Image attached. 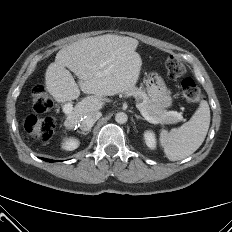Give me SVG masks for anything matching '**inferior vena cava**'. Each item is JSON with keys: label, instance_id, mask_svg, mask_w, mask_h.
Here are the masks:
<instances>
[{"label": "inferior vena cava", "instance_id": "1", "mask_svg": "<svg viewBox=\"0 0 232 232\" xmlns=\"http://www.w3.org/2000/svg\"><path fill=\"white\" fill-rule=\"evenodd\" d=\"M102 116L101 112L95 111L86 114L80 121L79 126L83 131H88L94 123Z\"/></svg>", "mask_w": 232, "mask_h": 232}]
</instances>
